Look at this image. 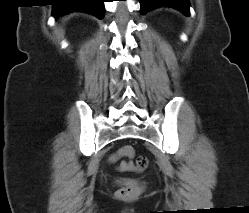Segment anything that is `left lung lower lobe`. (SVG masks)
Returning <instances> with one entry per match:
<instances>
[{
	"label": "left lung lower lobe",
	"mask_w": 249,
	"mask_h": 213,
	"mask_svg": "<svg viewBox=\"0 0 249 213\" xmlns=\"http://www.w3.org/2000/svg\"><path fill=\"white\" fill-rule=\"evenodd\" d=\"M141 14H145L147 11L160 7L170 6L181 10L186 15L189 14V1L188 0H140Z\"/></svg>",
	"instance_id": "obj_1"
}]
</instances>
